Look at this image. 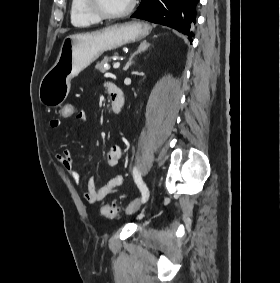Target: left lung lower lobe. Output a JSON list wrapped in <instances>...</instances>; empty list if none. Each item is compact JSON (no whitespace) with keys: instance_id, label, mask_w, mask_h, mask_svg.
Masks as SVG:
<instances>
[{"instance_id":"obj_1","label":"left lung lower lobe","mask_w":280,"mask_h":283,"mask_svg":"<svg viewBox=\"0 0 280 283\" xmlns=\"http://www.w3.org/2000/svg\"><path fill=\"white\" fill-rule=\"evenodd\" d=\"M199 0H142L131 17L172 27L185 35L190 31V23H195L196 5Z\"/></svg>"}]
</instances>
